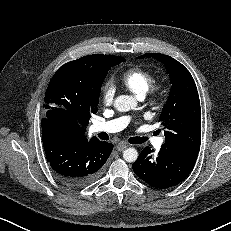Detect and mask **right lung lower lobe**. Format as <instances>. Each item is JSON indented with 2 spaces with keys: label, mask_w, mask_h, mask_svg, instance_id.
<instances>
[{
  "label": "right lung lower lobe",
  "mask_w": 231,
  "mask_h": 231,
  "mask_svg": "<svg viewBox=\"0 0 231 231\" xmlns=\"http://www.w3.org/2000/svg\"><path fill=\"white\" fill-rule=\"evenodd\" d=\"M41 124L47 161L61 183L71 188H82L99 177L113 144L97 138H69L46 118Z\"/></svg>",
  "instance_id": "98d812e1"
}]
</instances>
